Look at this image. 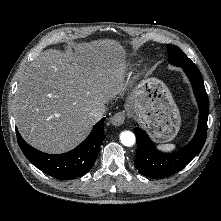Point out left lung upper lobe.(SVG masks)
<instances>
[{
    "mask_svg": "<svg viewBox=\"0 0 221 221\" xmlns=\"http://www.w3.org/2000/svg\"><path fill=\"white\" fill-rule=\"evenodd\" d=\"M168 61L169 63L182 67V66H191L194 63L178 48L175 46L168 44Z\"/></svg>",
    "mask_w": 221,
    "mask_h": 221,
    "instance_id": "1",
    "label": "left lung upper lobe"
}]
</instances>
